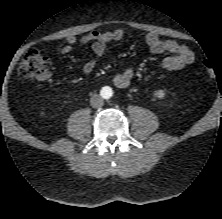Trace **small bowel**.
Masks as SVG:
<instances>
[{"label": "small bowel", "instance_id": "obj_1", "mask_svg": "<svg viewBox=\"0 0 222 219\" xmlns=\"http://www.w3.org/2000/svg\"><path fill=\"white\" fill-rule=\"evenodd\" d=\"M124 36L125 32L122 29L92 31L80 38L68 36L66 44L61 48V52L63 54L69 53L75 44H90L94 56L84 63L82 71L84 74H91L96 68L98 58L105 54L107 45L110 42L122 40ZM145 42L154 54L169 53L161 63L162 68L167 71L180 70L194 61L193 52L187 46L175 40H162L157 34L148 33L145 37ZM134 75L133 68H126L123 72L114 76L113 83L118 88H126L130 85Z\"/></svg>", "mask_w": 222, "mask_h": 219}]
</instances>
